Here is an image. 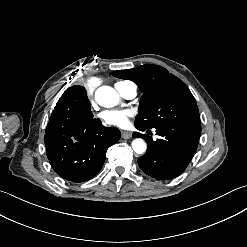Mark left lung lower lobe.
Instances as JSON below:
<instances>
[{
    "mask_svg": "<svg viewBox=\"0 0 247 247\" xmlns=\"http://www.w3.org/2000/svg\"><path fill=\"white\" fill-rule=\"evenodd\" d=\"M156 134L161 136L156 141L146 134H133L148 143V150L138 159L139 167L157 180L175 178L186 169L193 158L200 137L177 129H156Z\"/></svg>",
    "mask_w": 247,
    "mask_h": 247,
    "instance_id": "left-lung-lower-lobe-1",
    "label": "left lung lower lobe"
}]
</instances>
